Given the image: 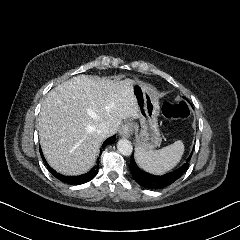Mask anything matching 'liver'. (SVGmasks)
<instances>
[{
  "mask_svg": "<svg viewBox=\"0 0 240 240\" xmlns=\"http://www.w3.org/2000/svg\"><path fill=\"white\" fill-rule=\"evenodd\" d=\"M134 80L112 81L78 75L52 89L39 114V138L49 165L66 175H81L95 164L104 138L100 123L118 125L139 118Z\"/></svg>",
  "mask_w": 240,
  "mask_h": 240,
  "instance_id": "6515ba94",
  "label": "liver"
}]
</instances>
